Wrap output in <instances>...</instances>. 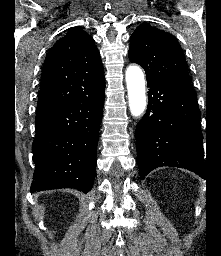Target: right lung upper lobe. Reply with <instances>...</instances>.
<instances>
[{
  "label": "right lung upper lobe",
  "mask_w": 221,
  "mask_h": 256,
  "mask_svg": "<svg viewBox=\"0 0 221 256\" xmlns=\"http://www.w3.org/2000/svg\"><path fill=\"white\" fill-rule=\"evenodd\" d=\"M104 88V70L94 39L82 29L73 28L46 56L36 113Z\"/></svg>",
  "instance_id": "1"
}]
</instances>
